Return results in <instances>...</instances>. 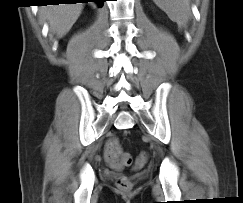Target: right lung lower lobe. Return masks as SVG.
<instances>
[{
	"label": "right lung lower lobe",
	"instance_id": "right-lung-lower-lobe-1",
	"mask_svg": "<svg viewBox=\"0 0 243 203\" xmlns=\"http://www.w3.org/2000/svg\"><path fill=\"white\" fill-rule=\"evenodd\" d=\"M59 3H77L78 1H81L82 3H88V2H96L99 7L103 6V2L106 0H57ZM44 4V3H42ZM42 4H38V5H42ZM59 5V4H58Z\"/></svg>",
	"mask_w": 243,
	"mask_h": 203
}]
</instances>
